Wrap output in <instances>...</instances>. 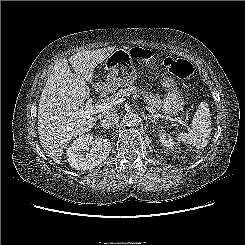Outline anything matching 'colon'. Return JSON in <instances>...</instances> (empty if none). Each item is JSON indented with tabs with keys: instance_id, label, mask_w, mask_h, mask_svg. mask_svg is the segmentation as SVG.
Masks as SVG:
<instances>
[{
	"instance_id": "obj_1",
	"label": "colon",
	"mask_w": 245,
	"mask_h": 245,
	"mask_svg": "<svg viewBox=\"0 0 245 245\" xmlns=\"http://www.w3.org/2000/svg\"><path fill=\"white\" fill-rule=\"evenodd\" d=\"M133 53L142 57L148 56L146 51L134 50ZM163 65L167 70H169L172 74H174L176 77L180 79H187L193 73L192 65L188 61L183 59L165 57L163 59ZM172 88L175 87L173 86Z\"/></svg>"
}]
</instances>
